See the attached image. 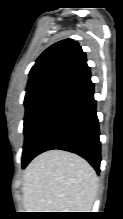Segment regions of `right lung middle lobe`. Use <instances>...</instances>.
<instances>
[{"instance_id":"right-lung-middle-lobe-1","label":"right lung middle lobe","mask_w":123,"mask_h":219,"mask_svg":"<svg viewBox=\"0 0 123 219\" xmlns=\"http://www.w3.org/2000/svg\"><path fill=\"white\" fill-rule=\"evenodd\" d=\"M68 80H54L26 91L22 166H25L32 154V145L48 112L69 85Z\"/></svg>"}]
</instances>
